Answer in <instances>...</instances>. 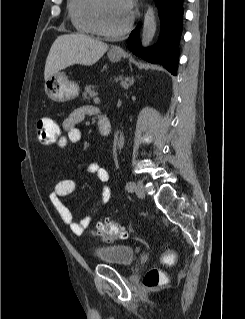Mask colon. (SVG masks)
<instances>
[{
    "instance_id": "1",
    "label": "colon",
    "mask_w": 245,
    "mask_h": 319,
    "mask_svg": "<svg viewBox=\"0 0 245 319\" xmlns=\"http://www.w3.org/2000/svg\"><path fill=\"white\" fill-rule=\"evenodd\" d=\"M36 137L43 145H52L60 135L59 125L51 118H40L36 123ZM93 234L101 237L105 241H113L117 238H126L127 229L114 221L105 219L96 224ZM163 276L157 269H151L145 277L144 283L148 288H155L162 284Z\"/></svg>"
}]
</instances>
